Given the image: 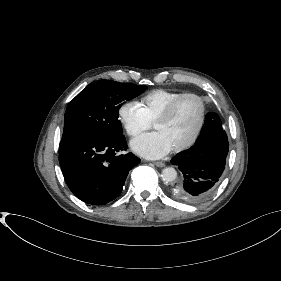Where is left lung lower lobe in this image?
Instances as JSON below:
<instances>
[{"instance_id": "obj_1", "label": "left lung lower lobe", "mask_w": 281, "mask_h": 281, "mask_svg": "<svg viewBox=\"0 0 281 281\" xmlns=\"http://www.w3.org/2000/svg\"><path fill=\"white\" fill-rule=\"evenodd\" d=\"M228 150L226 132L208 113L195 144L171 160L183 174L175 195L186 203H199L209 198L225 169Z\"/></svg>"}]
</instances>
